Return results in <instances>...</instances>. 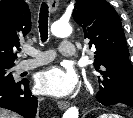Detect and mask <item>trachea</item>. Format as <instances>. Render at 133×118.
<instances>
[{"instance_id": "obj_1", "label": "trachea", "mask_w": 133, "mask_h": 118, "mask_svg": "<svg viewBox=\"0 0 133 118\" xmlns=\"http://www.w3.org/2000/svg\"><path fill=\"white\" fill-rule=\"evenodd\" d=\"M48 17H49L48 5L45 2H43L39 14V31L42 42H45L48 38Z\"/></svg>"}]
</instances>
